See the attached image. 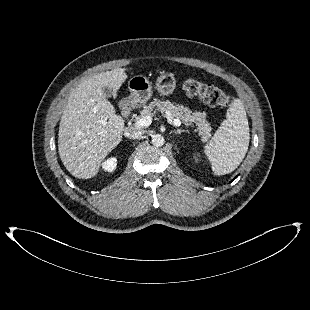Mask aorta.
I'll list each match as a JSON object with an SVG mask.
<instances>
[{"instance_id": "1", "label": "aorta", "mask_w": 310, "mask_h": 310, "mask_svg": "<svg viewBox=\"0 0 310 310\" xmlns=\"http://www.w3.org/2000/svg\"><path fill=\"white\" fill-rule=\"evenodd\" d=\"M151 142H152V144H153L154 146H156V147H161V146L164 145L165 139H164V137H163L162 135H160V134H154V135L152 136Z\"/></svg>"}]
</instances>
